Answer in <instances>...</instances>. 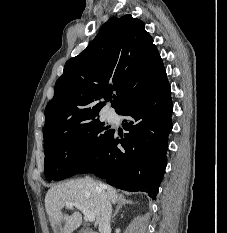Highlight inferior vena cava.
Masks as SVG:
<instances>
[{"instance_id": "602c4592", "label": "inferior vena cava", "mask_w": 227, "mask_h": 233, "mask_svg": "<svg viewBox=\"0 0 227 233\" xmlns=\"http://www.w3.org/2000/svg\"><path fill=\"white\" fill-rule=\"evenodd\" d=\"M98 188L101 190V219L99 221V232L108 233L110 231L112 206L105 191L102 190L101 186Z\"/></svg>"}]
</instances>
